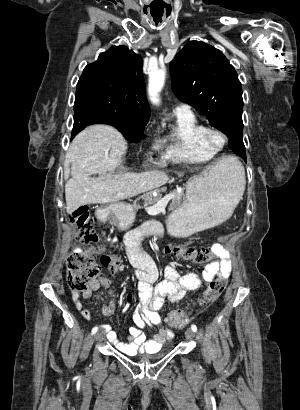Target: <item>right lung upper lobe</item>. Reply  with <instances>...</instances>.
Returning a JSON list of instances; mask_svg holds the SVG:
<instances>
[{"label": "right lung upper lobe", "mask_w": 300, "mask_h": 410, "mask_svg": "<svg viewBox=\"0 0 300 410\" xmlns=\"http://www.w3.org/2000/svg\"><path fill=\"white\" fill-rule=\"evenodd\" d=\"M142 65L141 56L127 47H111L85 67L76 88L100 92L115 116L137 122L149 120Z\"/></svg>", "instance_id": "right-lung-upper-lobe-1"}]
</instances>
